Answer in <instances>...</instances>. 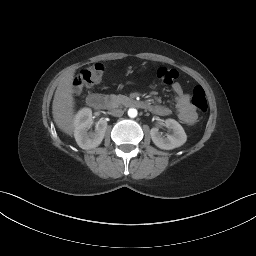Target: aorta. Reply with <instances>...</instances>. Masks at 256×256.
<instances>
[{"instance_id":"obj_1","label":"aorta","mask_w":256,"mask_h":256,"mask_svg":"<svg viewBox=\"0 0 256 256\" xmlns=\"http://www.w3.org/2000/svg\"><path fill=\"white\" fill-rule=\"evenodd\" d=\"M137 114H138V112L134 108H130L128 110V116L131 117V118H135L137 116Z\"/></svg>"}]
</instances>
